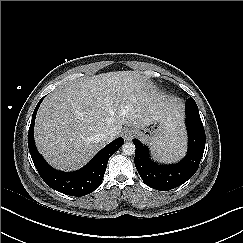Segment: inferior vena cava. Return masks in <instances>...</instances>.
<instances>
[{
	"instance_id": "602c4592",
	"label": "inferior vena cava",
	"mask_w": 243,
	"mask_h": 243,
	"mask_svg": "<svg viewBox=\"0 0 243 243\" xmlns=\"http://www.w3.org/2000/svg\"><path fill=\"white\" fill-rule=\"evenodd\" d=\"M117 134H116V130L115 129H110L109 131H107L103 136L102 138L105 140V141H112L116 138Z\"/></svg>"
}]
</instances>
